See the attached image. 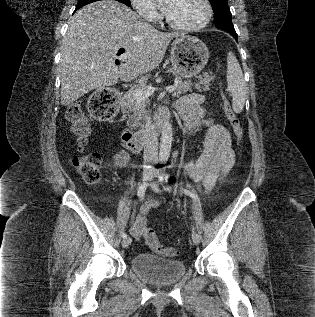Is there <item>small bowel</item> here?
<instances>
[{
    "instance_id": "1",
    "label": "small bowel",
    "mask_w": 315,
    "mask_h": 317,
    "mask_svg": "<svg viewBox=\"0 0 315 317\" xmlns=\"http://www.w3.org/2000/svg\"><path fill=\"white\" fill-rule=\"evenodd\" d=\"M204 98L201 94L192 93L183 96L176 104V109L184 119L185 133L190 134L203 127L207 128L204 147L195 161L185 164V173L199 184V188L209 193L216 183L224 178L235 163V153L229 131L213 119L207 118L206 109L202 106ZM114 164L118 168L125 167L130 154L120 149L114 154ZM159 206L158 201L148 200L141 205L137 216L131 224V234L135 239L144 236L146 215L152 208Z\"/></svg>"
}]
</instances>
